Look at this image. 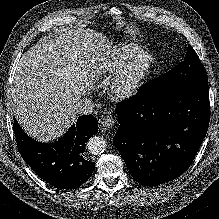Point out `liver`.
<instances>
[{
	"label": "liver",
	"instance_id": "6515ba94",
	"mask_svg": "<svg viewBox=\"0 0 219 219\" xmlns=\"http://www.w3.org/2000/svg\"><path fill=\"white\" fill-rule=\"evenodd\" d=\"M103 34L66 28L30 48L15 70L11 98L18 123L50 142L76 121L74 105L91 85L90 67L105 49Z\"/></svg>",
	"mask_w": 219,
	"mask_h": 219
}]
</instances>
